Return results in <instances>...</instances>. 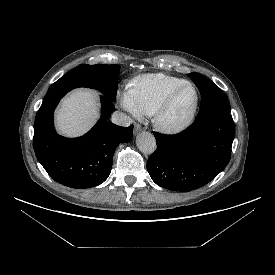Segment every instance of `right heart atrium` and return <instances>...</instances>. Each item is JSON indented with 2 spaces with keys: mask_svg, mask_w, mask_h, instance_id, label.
<instances>
[{
  "mask_svg": "<svg viewBox=\"0 0 275 275\" xmlns=\"http://www.w3.org/2000/svg\"><path fill=\"white\" fill-rule=\"evenodd\" d=\"M120 104L124 110H126L131 115L138 117L141 115L135 100L132 88L126 90L120 95Z\"/></svg>",
  "mask_w": 275,
  "mask_h": 275,
  "instance_id": "right-heart-atrium-1",
  "label": "right heart atrium"
}]
</instances>
